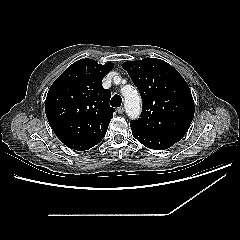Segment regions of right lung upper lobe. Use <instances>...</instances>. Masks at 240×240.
I'll use <instances>...</instances> for the list:
<instances>
[{
  "instance_id": "obj_1",
  "label": "right lung upper lobe",
  "mask_w": 240,
  "mask_h": 240,
  "mask_svg": "<svg viewBox=\"0 0 240 240\" xmlns=\"http://www.w3.org/2000/svg\"><path fill=\"white\" fill-rule=\"evenodd\" d=\"M113 63L81 59L70 65L51 85L45 102L47 119L56 136L74 150H88L105 136L115 109L102 79Z\"/></svg>"
}]
</instances>
